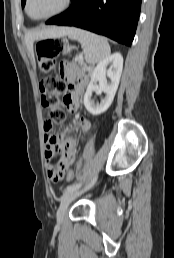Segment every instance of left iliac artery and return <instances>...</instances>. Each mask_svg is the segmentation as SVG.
Instances as JSON below:
<instances>
[{
  "instance_id": "1",
  "label": "left iliac artery",
  "mask_w": 174,
  "mask_h": 258,
  "mask_svg": "<svg viewBox=\"0 0 174 258\" xmlns=\"http://www.w3.org/2000/svg\"><path fill=\"white\" fill-rule=\"evenodd\" d=\"M81 186H82V183H76V184L69 185L66 187L65 192L76 190V189L80 188Z\"/></svg>"
}]
</instances>
